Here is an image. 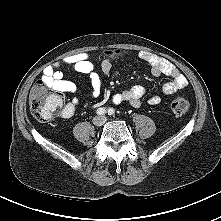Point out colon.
Segmentation results:
<instances>
[{"label": "colon", "instance_id": "1", "mask_svg": "<svg viewBox=\"0 0 221 221\" xmlns=\"http://www.w3.org/2000/svg\"><path fill=\"white\" fill-rule=\"evenodd\" d=\"M108 58H116L120 51H108L104 53ZM64 97L60 91L51 89L44 83L35 85L30 93L29 106L32 115L40 121H49L63 111ZM190 109L189 102L181 97L173 99L171 110L176 115H184Z\"/></svg>", "mask_w": 221, "mask_h": 221}]
</instances>
